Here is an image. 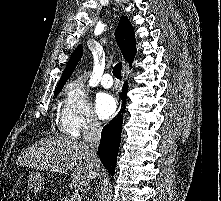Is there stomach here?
Wrapping results in <instances>:
<instances>
[{
    "mask_svg": "<svg viewBox=\"0 0 221 201\" xmlns=\"http://www.w3.org/2000/svg\"><path fill=\"white\" fill-rule=\"evenodd\" d=\"M26 182L28 189L33 192H40L45 186V179L43 175L38 172H31L27 176Z\"/></svg>",
    "mask_w": 221,
    "mask_h": 201,
    "instance_id": "obj_1",
    "label": "stomach"
}]
</instances>
